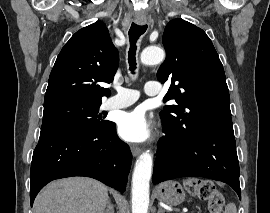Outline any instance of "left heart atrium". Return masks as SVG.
<instances>
[{"mask_svg":"<svg viewBox=\"0 0 270 213\" xmlns=\"http://www.w3.org/2000/svg\"><path fill=\"white\" fill-rule=\"evenodd\" d=\"M118 132L121 138L128 142H143L151 134L150 122L143 110L137 108L120 116L118 120Z\"/></svg>","mask_w":270,"mask_h":213,"instance_id":"obj_1","label":"left heart atrium"}]
</instances>
